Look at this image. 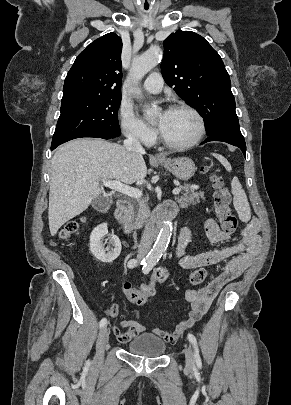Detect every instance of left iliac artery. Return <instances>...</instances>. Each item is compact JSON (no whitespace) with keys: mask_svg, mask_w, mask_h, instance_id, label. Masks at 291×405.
<instances>
[{"mask_svg":"<svg viewBox=\"0 0 291 405\" xmlns=\"http://www.w3.org/2000/svg\"><path fill=\"white\" fill-rule=\"evenodd\" d=\"M154 265H155V262L150 261V262L146 263L142 268L143 273L144 274L149 273L151 271V269L154 267ZM187 337H188V340L190 341V343L193 345V348H194L195 362H196L197 366H201L202 363H201V358H200V355H199V349H198L196 337L191 333H189Z\"/></svg>","mask_w":291,"mask_h":405,"instance_id":"1","label":"left iliac artery"}]
</instances>
